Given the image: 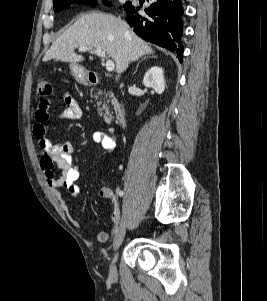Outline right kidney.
<instances>
[{"mask_svg": "<svg viewBox=\"0 0 267 301\" xmlns=\"http://www.w3.org/2000/svg\"><path fill=\"white\" fill-rule=\"evenodd\" d=\"M163 73L164 71L160 67L155 66L150 68L143 78L144 86L153 88L156 93L162 94L165 89V80Z\"/></svg>", "mask_w": 267, "mask_h": 301, "instance_id": "right-kidney-1", "label": "right kidney"}]
</instances>
